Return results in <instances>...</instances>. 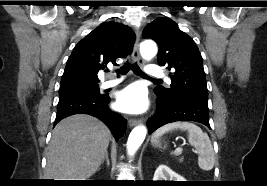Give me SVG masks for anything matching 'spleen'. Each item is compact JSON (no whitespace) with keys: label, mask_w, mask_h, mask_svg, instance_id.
Segmentation results:
<instances>
[{"label":"spleen","mask_w":267,"mask_h":186,"mask_svg":"<svg viewBox=\"0 0 267 186\" xmlns=\"http://www.w3.org/2000/svg\"><path fill=\"white\" fill-rule=\"evenodd\" d=\"M180 129L188 132V141L198 153V165L203 170H211L214 166V151L207 133L191 122H173L157 129L152 137V142H157L163 134Z\"/></svg>","instance_id":"1"}]
</instances>
